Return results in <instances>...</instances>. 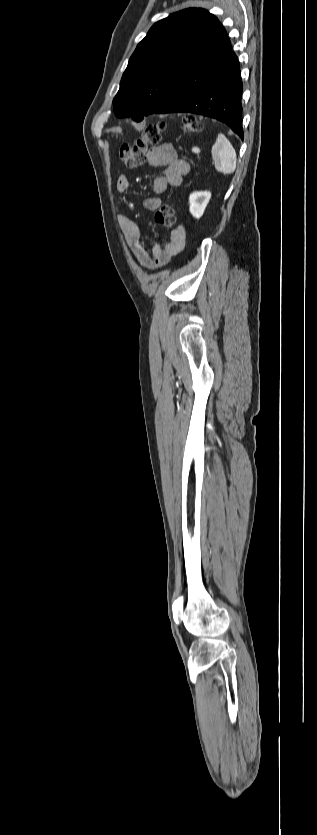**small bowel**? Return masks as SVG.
<instances>
[{
	"label": "small bowel",
	"instance_id": "1",
	"mask_svg": "<svg viewBox=\"0 0 317 835\" xmlns=\"http://www.w3.org/2000/svg\"><path fill=\"white\" fill-rule=\"evenodd\" d=\"M147 161L153 167H163L162 175L154 178L152 191L155 196L144 200V207L149 211H156L162 200L159 195L167 191L169 186H180L183 177L189 173L190 165L187 161L179 158L176 149L170 143L154 146L147 153ZM116 188L120 193H128L131 188L130 179L126 175H120L117 179ZM119 226L124 238L136 257L139 264L147 270H155L166 265L170 259L179 254L185 245V229L180 226L175 229L165 247L156 244L147 249L143 239L140 226L131 218L125 215L118 216Z\"/></svg>",
	"mask_w": 317,
	"mask_h": 835
}]
</instances>
